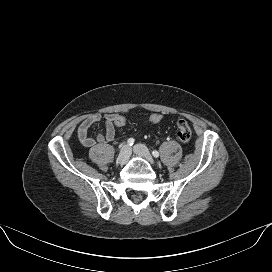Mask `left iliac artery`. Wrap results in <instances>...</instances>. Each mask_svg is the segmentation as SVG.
<instances>
[{"mask_svg": "<svg viewBox=\"0 0 272 272\" xmlns=\"http://www.w3.org/2000/svg\"><path fill=\"white\" fill-rule=\"evenodd\" d=\"M152 155H153L155 158H157V157H159V152L156 151V150H154V151L152 152Z\"/></svg>", "mask_w": 272, "mask_h": 272, "instance_id": "44dca946", "label": "left iliac artery"}]
</instances>
